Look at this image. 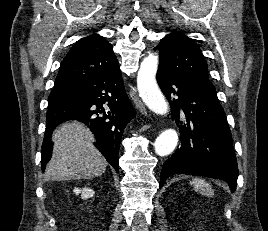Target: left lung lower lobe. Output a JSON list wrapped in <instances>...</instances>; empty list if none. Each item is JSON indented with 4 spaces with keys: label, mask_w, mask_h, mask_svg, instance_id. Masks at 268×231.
Listing matches in <instances>:
<instances>
[{
    "label": "left lung lower lobe",
    "mask_w": 268,
    "mask_h": 231,
    "mask_svg": "<svg viewBox=\"0 0 268 231\" xmlns=\"http://www.w3.org/2000/svg\"><path fill=\"white\" fill-rule=\"evenodd\" d=\"M157 82L170 103L181 135V147L163 164L159 188L168 177L187 174L222 179L234 192L238 177L236 156L218 99L167 69L158 68Z\"/></svg>",
    "instance_id": "0a47b994"
}]
</instances>
